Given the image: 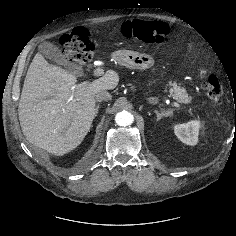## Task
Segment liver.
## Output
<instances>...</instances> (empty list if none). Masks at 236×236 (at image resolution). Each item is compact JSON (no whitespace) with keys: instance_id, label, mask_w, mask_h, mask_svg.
<instances>
[{"instance_id":"obj_1","label":"liver","mask_w":236,"mask_h":236,"mask_svg":"<svg viewBox=\"0 0 236 236\" xmlns=\"http://www.w3.org/2000/svg\"><path fill=\"white\" fill-rule=\"evenodd\" d=\"M72 73L37 53L27 71L18 105L22 132L35 146L62 156L84 140L97 114L95 95L119 82L107 71L92 82L76 84Z\"/></svg>"}]
</instances>
